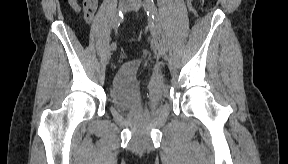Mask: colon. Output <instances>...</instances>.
Returning a JSON list of instances; mask_svg holds the SVG:
<instances>
[{
    "label": "colon",
    "instance_id": "colon-1",
    "mask_svg": "<svg viewBox=\"0 0 288 164\" xmlns=\"http://www.w3.org/2000/svg\"><path fill=\"white\" fill-rule=\"evenodd\" d=\"M93 15H94V12L91 9H89L88 7H84V9H83V17L84 18H89ZM119 57L121 60H124V59H126L127 55L123 50H121Z\"/></svg>",
    "mask_w": 288,
    "mask_h": 164
}]
</instances>
